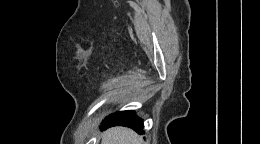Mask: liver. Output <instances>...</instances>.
<instances>
[{
  "label": "liver",
  "mask_w": 260,
  "mask_h": 144,
  "mask_svg": "<svg viewBox=\"0 0 260 144\" xmlns=\"http://www.w3.org/2000/svg\"><path fill=\"white\" fill-rule=\"evenodd\" d=\"M102 144H143V139L132 129L113 127L103 134Z\"/></svg>",
  "instance_id": "6515ba94"
}]
</instances>
